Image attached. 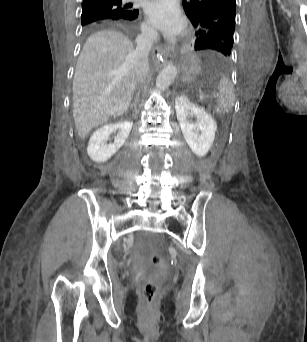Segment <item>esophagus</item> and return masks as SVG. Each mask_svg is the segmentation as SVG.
<instances>
[{"instance_id": "1", "label": "esophagus", "mask_w": 307, "mask_h": 342, "mask_svg": "<svg viewBox=\"0 0 307 342\" xmlns=\"http://www.w3.org/2000/svg\"><path fill=\"white\" fill-rule=\"evenodd\" d=\"M156 51L162 55L164 64L171 63L176 56L174 49L166 50L163 47H159Z\"/></svg>"}]
</instances>
